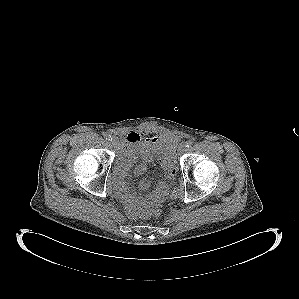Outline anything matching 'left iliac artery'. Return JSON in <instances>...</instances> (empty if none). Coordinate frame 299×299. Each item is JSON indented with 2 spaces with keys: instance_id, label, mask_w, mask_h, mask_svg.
Listing matches in <instances>:
<instances>
[{
  "instance_id": "1",
  "label": "left iliac artery",
  "mask_w": 299,
  "mask_h": 299,
  "mask_svg": "<svg viewBox=\"0 0 299 299\" xmlns=\"http://www.w3.org/2000/svg\"><path fill=\"white\" fill-rule=\"evenodd\" d=\"M193 144V141L189 140L186 142V147H191V145Z\"/></svg>"
}]
</instances>
